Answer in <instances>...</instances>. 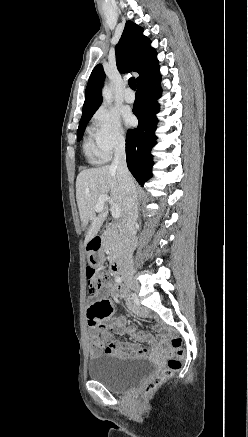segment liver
<instances>
[{
	"label": "liver",
	"instance_id": "6515ba94",
	"mask_svg": "<svg viewBox=\"0 0 248 437\" xmlns=\"http://www.w3.org/2000/svg\"><path fill=\"white\" fill-rule=\"evenodd\" d=\"M108 196L124 216V192L118 182L117 172L111 166H102L81 171L76 179V199L80 219L84 227L88 226L85 243L91 241L99 232L108 216L105 203L98 216L94 209L100 196Z\"/></svg>",
	"mask_w": 248,
	"mask_h": 437
}]
</instances>
